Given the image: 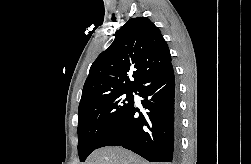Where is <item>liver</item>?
I'll list each match as a JSON object with an SVG mask.
<instances>
[{
    "label": "liver",
    "mask_w": 251,
    "mask_h": 164,
    "mask_svg": "<svg viewBox=\"0 0 251 164\" xmlns=\"http://www.w3.org/2000/svg\"><path fill=\"white\" fill-rule=\"evenodd\" d=\"M84 164H149L122 147H103L95 150Z\"/></svg>",
    "instance_id": "1"
}]
</instances>
